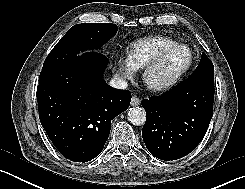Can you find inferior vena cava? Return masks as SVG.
I'll list each match as a JSON object with an SVG mask.
<instances>
[{"label":"inferior vena cava","mask_w":245,"mask_h":189,"mask_svg":"<svg viewBox=\"0 0 245 189\" xmlns=\"http://www.w3.org/2000/svg\"><path fill=\"white\" fill-rule=\"evenodd\" d=\"M109 85L113 88H116V89H126L128 84L127 82L119 77V76H115L110 82H109Z\"/></svg>","instance_id":"1"}]
</instances>
